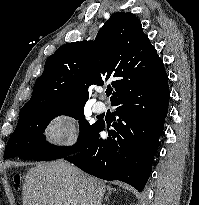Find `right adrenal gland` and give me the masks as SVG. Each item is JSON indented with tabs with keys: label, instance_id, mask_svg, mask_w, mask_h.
I'll use <instances>...</instances> for the list:
<instances>
[{
	"label": "right adrenal gland",
	"instance_id": "right-adrenal-gland-1",
	"mask_svg": "<svg viewBox=\"0 0 199 205\" xmlns=\"http://www.w3.org/2000/svg\"><path fill=\"white\" fill-rule=\"evenodd\" d=\"M113 191H116V189L114 188H108V193L107 195L105 196V201L107 202V205H108V202H109V195L111 194V192Z\"/></svg>",
	"mask_w": 199,
	"mask_h": 205
}]
</instances>
